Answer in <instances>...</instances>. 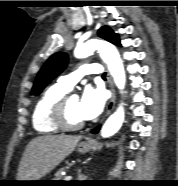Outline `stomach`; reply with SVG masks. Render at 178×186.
Listing matches in <instances>:
<instances>
[{
  "mask_svg": "<svg viewBox=\"0 0 178 186\" xmlns=\"http://www.w3.org/2000/svg\"><path fill=\"white\" fill-rule=\"evenodd\" d=\"M91 149H92L91 141L81 142L77 147V150L82 154L89 152ZM34 181H40V180H34ZM34 185H38V183L37 184L35 183Z\"/></svg>",
  "mask_w": 178,
  "mask_h": 186,
  "instance_id": "obj_1",
  "label": "stomach"
}]
</instances>
